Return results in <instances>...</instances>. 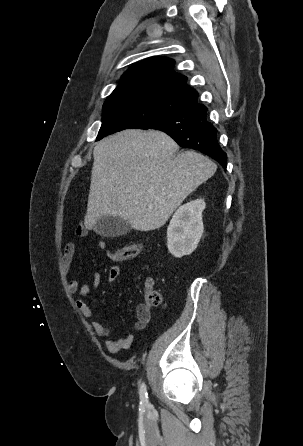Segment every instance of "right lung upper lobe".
<instances>
[{"label":"right lung upper lobe","mask_w":303,"mask_h":446,"mask_svg":"<svg viewBox=\"0 0 303 446\" xmlns=\"http://www.w3.org/2000/svg\"><path fill=\"white\" fill-rule=\"evenodd\" d=\"M173 65L174 61L166 57H151L136 63L122 75L103 107L143 106L164 111L174 100H185V105L196 102L197 91L187 85L185 76L173 70Z\"/></svg>","instance_id":"obj_1"}]
</instances>
